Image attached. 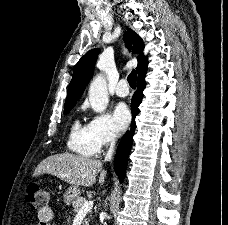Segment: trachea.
Segmentation results:
<instances>
[{
  "label": "trachea",
  "instance_id": "trachea-1",
  "mask_svg": "<svg viewBox=\"0 0 228 225\" xmlns=\"http://www.w3.org/2000/svg\"><path fill=\"white\" fill-rule=\"evenodd\" d=\"M137 73L135 70L128 75V83L131 88H136Z\"/></svg>",
  "mask_w": 228,
  "mask_h": 225
}]
</instances>
